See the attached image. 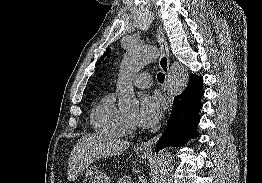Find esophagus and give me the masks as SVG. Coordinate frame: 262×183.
<instances>
[{
	"label": "esophagus",
	"mask_w": 262,
	"mask_h": 183,
	"mask_svg": "<svg viewBox=\"0 0 262 183\" xmlns=\"http://www.w3.org/2000/svg\"><path fill=\"white\" fill-rule=\"evenodd\" d=\"M156 37H157V41H158L160 52H161L160 58H159V66L162 69V71L164 72V74L166 75V78H168L169 72H170L169 47L166 41L164 31L160 25L157 28ZM164 96L167 99L169 107H170L172 105L173 98H172V95L170 93L167 83L165 84V88H164ZM162 133L163 131L158 133L156 136L149 139L148 141L139 144L137 146V150L144 151V152H150L151 146L159 140V138L162 136Z\"/></svg>",
	"instance_id": "34e87169"
}]
</instances>
